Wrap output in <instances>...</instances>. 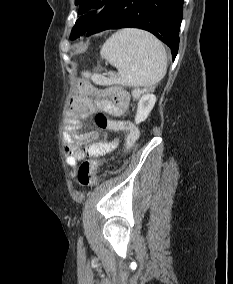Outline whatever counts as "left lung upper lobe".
Listing matches in <instances>:
<instances>
[{
	"instance_id": "left-lung-upper-lobe-1",
	"label": "left lung upper lobe",
	"mask_w": 233,
	"mask_h": 284,
	"mask_svg": "<svg viewBox=\"0 0 233 284\" xmlns=\"http://www.w3.org/2000/svg\"><path fill=\"white\" fill-rule=\"evenodd\" d=\"M108 1L109 0H75V5H78L80 8H82L79 9V14H83L92 7H95L96 9L103 7ZM96 17V11L89 12L88 14L80 17L72 29L70 39L74 40L85 34L95 22Z\"/></svg>"
}]
</instances>
